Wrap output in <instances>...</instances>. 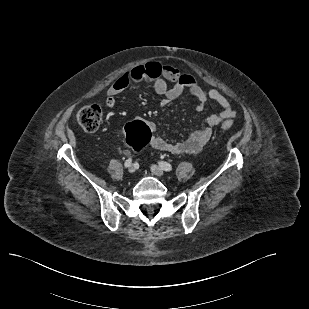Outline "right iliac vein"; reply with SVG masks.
I'll list each match as a JSON object with an SVG mask.
<instances>
[{
	"label": "right iliac vein",
	"mask_w": 309,
	"mask_h": 309,
	"mask_svg": "<svg viewBox=\"0 0 309 309\" xmlns=\"http://www.w3.org/2000/svg\"><path fill=\"white\" fill-rule=\"evenodd\" d=\"M128 171L130 173H134L136 171V167L134 165H130L129 168H128Z\"/></svg>",
	"instance_id": "1"
}]
</instances>
